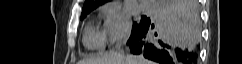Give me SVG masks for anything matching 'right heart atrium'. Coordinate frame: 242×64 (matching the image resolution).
Here are the masks:
<instances>
[{"instance_id": "right-heart-atrium-1", "label": "right heart atrium", "mask_w": 242, "mask_h": 64, "mask_svg": "<svg viewBox=\"0 0 242 64\" xmlns=\"http://www.w3.org/2000/svg\"><path fill=\"white\" fill-rule=\"evenodd\" d=\"M130 19L126 13L116 6L104 8L103 37L109 45L122 44L128 37Z\"/></svg>"}]
</instances>
